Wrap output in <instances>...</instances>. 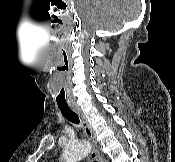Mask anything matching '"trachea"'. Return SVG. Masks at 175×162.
<instances>
[{
    "mask_svg": "<svg viewBox=\"0 0 175 162\" xmlns=\"http://www.w3.org/2000/svg\"><path fill=\"white\" fill-rule=\"evenodd\" d=\"M63 116L74 124H79L80 120L78 115L72 111L69 107H59Z\"/></svg>",
    "mask_w": 175,
    "mask_h": 162,
    "instance_id": "1",
    "label": "trachea"
}]
</instances>
